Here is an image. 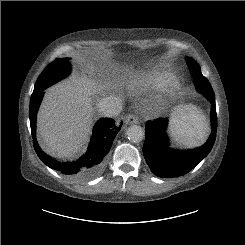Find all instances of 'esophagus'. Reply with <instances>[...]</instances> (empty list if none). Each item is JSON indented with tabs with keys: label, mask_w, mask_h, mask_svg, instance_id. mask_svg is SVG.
Instances as JSON below:
<instances>
[{
	"label": "esophagus",
	"mask_w": 245,
	"mask_h": 245,
	"mask_svg": "<svg viewBox=\"0 0 245 245\" xmlns=\"http://www.w3.org/2000/svg\"><path fill=\"white\" fill-rule=\"evenodd\" d=\"M124 122L127 124V125H132V124H136L138 122V117L131 113V114H128L125 118H124Z\"/></svg>",
	"instance_id": "34e87169"
}]
</instances>
